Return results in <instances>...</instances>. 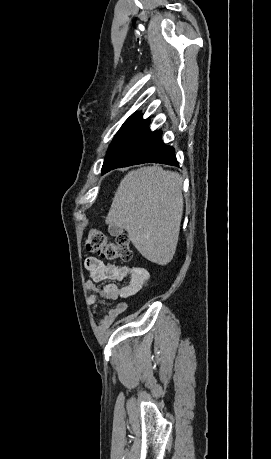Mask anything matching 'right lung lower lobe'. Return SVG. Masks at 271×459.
I'll return each mask as SVG.
<instances>
[{"mask_svg": "<svg viewBox=\"0 0 271 459\" xmlns=\"http://www.w3.org/2000/svg\"><path fill=\"white\" fill-rule=\"evenodd\" d=\"M161 137L162 131L151 132L147 126L113 157L102 174L115 168L143 163L178 166L174 148L165 145Z\"/></svg>", "mask_w": 271, "mask_h": 459, "instance_id": "obj_1", "label": "right lung lower lobe"}]
</instances>
